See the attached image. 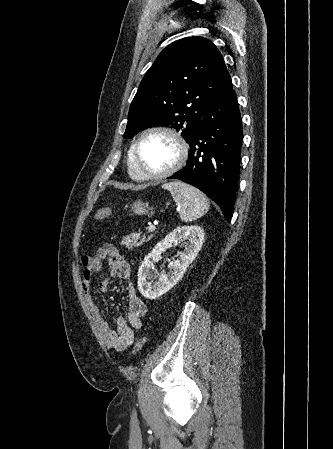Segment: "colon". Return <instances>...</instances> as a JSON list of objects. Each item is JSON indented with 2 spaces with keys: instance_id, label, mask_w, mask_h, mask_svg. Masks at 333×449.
Listing matches in <instances>:
<instances>
[{
  "instance_id": "obj_1",
  "label": "colon",
  "mask_w": 333,
  "mask_h": 449,
  "mask_svg": "<svg viewBox=\"0 0 333 449\" xmlns=\"http://www.w3.org/2000/svg\"><path fill=\"white\" fill-rule=\"evenodd\" d=\"M111 216H112V210L108 207H103L96 211L94 218L97 221H102V220L108 219ZM146 340H147V338L145 336H142L135 342V344L133 346V350H132V353L134 355H137L141 352L143 346L146 343Z\"/></svg>"
}]
</instances>
